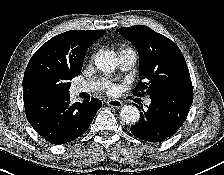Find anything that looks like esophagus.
<instances>
[{
    "instance_id": "34e87169",
    "label": "esophagus",
    "mask_w": 224,
    "mask_h": 175,
    "mask_svg": "<svg viewBox=\"0 0 224 175\" xmlns=\"http://www.w3.org/2000/svg\"><path fill=\"white\" fill-rule=\"evenodd\" d=\"M106 104L114 108H120L123 105V103L120 100H116V99H110L106 102Z\"/></svg>"
}]
</instances>
